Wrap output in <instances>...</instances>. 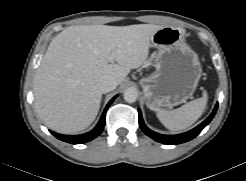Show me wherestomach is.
<instances>
[{"mask_svg": "<svg viewBox=\"0 0 246 181\" xmlns=\"http://www.w3.org/2000/svg\"><path fill=\"white\" fill-rule=\"evenodd\" d=\"M151 44L157 49L156 71L140 79L147 107L157 111L186 102L198 85L202 66L197 53L185 43V30L162 27Z\"/></svg>", "mask_w": 246, "mask_h": 181, "instance_id": "1", "label": "stomach"}]
</instances>
